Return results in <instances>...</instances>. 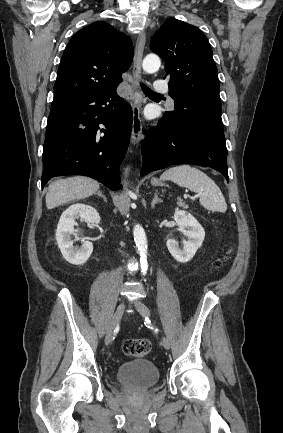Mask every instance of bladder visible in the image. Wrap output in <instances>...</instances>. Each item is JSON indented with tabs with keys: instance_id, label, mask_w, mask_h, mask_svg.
I'll return each instance as SVG.
<instances>
[{
	"instance_id": "obj_1",
	"label": "bladder",
	"mask_w": 283,
	"mask_h": 433,
	"mask_svg": "<svg viewBox=\"0 0 283 433\" xmlns=\"http://www.w3.org/2000/svg\"><path fill=\"white\" fill-rule=\"evenodd\" d=\"M116 380L124 387L147 389L159 380V370L149 360H137L120 365Z\"/></svg>"
}]
</instances>
